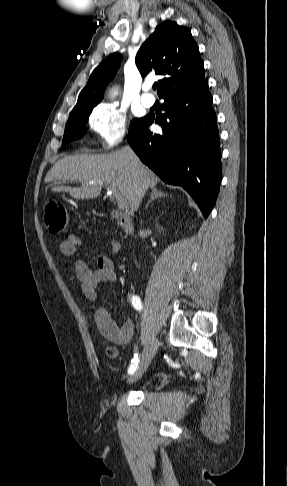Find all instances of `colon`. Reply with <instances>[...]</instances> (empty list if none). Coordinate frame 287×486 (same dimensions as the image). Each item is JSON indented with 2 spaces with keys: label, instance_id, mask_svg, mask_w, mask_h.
I'll use <instances>...</instances> for the list:
<instances>
[{
  "label": "colon",
  "instance_id": "1",
  "mask_svg": "<svg viewBox=\"0 0 287 486\" xmlns=\"http://www.w3.org/2000/svg\"><path fill=\"white\" fill-rule=\"evenodd\" d=\"M44 222L47 229L52 233H60L65 230L68 223V216L63 204L56 200L46 203L44 209ZM107 355L110 358L117 356V351L113 347H107Z\"/></svg>",
  "mask_w": 287,
  "mask_h": 486
}]
</instances>
